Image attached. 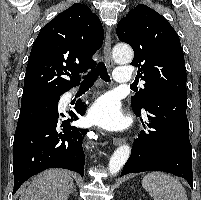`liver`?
<instances>
[{"instance_id":"liver-1","label":"liver","mask_w":201,"mask_h":200,"mask_svg":"<svg viewBox=\"0 0 201 200\" xmlns=\"http://www.w3.org/2000/svg\"><path fill=\"white\" fill-rule=\"evenodd\" d=\"M73 180L67 171L49 169L38 174L19 200H67Z\"/></svg>"}]
</instances>
